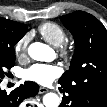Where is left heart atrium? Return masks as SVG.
I'll return each mask as SVG.
<instances>
[{
  "instance_id": "obj_1",
  "label": "left heart atrium",
  "mask_w": 107,
  "mask_h": 107,
  "mask_svg": "<svg viewBox=\"0 0 107 107\" xmlns=\"http://www.w3.org/2000/svg\"><path fill=\"white\" fill-rule=\"evenodd\" d=\"M60 75V69L51 64H34L23 73L27 81L36 82L40 85L52 83Z\"/></svg>"
}]
</instances>
